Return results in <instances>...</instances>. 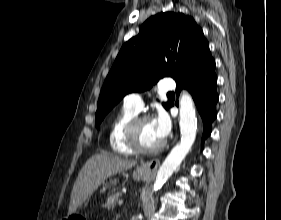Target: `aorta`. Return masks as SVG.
<instances>
[{"mask_svg":"<svg viewBox=\"0 0 281 220\" xmlns=\"http://www.w3.org/2000/svg\"><path fill=\"white\" fill-rule=\"evenodd\" d=\"M179 107L181 141L171 150L160 166L156 176L154 190H158L173 174L186 157L195 141L197 119L194 102L189 93L183 92L180 97Z\"/></svg>","mask_w":281,"mask_h":220,"instance_id":"1","label":"aorta"}]
</instances>
